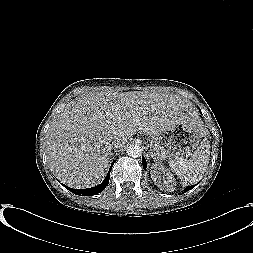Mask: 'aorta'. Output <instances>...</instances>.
<instances>
[{"instance_id": "obj_1", "label": "aorta", "mask_w": 253, "mask_h": 253, "mask_svg": "<svg viewBox=\"0 0 253 253\" xmlns=\"http://www.w3.org/2000/svg\"><path fill=\"white\" fill-rule=\"evenodd\" d=\"M126 152L130 157L133 158H137L142 155V149L138 144H131L129 147H127Z\"/></svg>"}]
</instances>
